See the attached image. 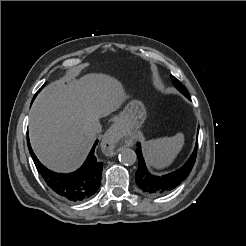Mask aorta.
Here are the masks:
<instances>
[{
  "label": "aorta",
  "mask_w": 246,
  "mask_h": 246,
  "mask_svg": "<svg viewBox=\"0 0 246 246\" xmlns=\"http://www.w3.org/2000/svg\"><path fill=\"white\" fill-rule=\"evenodd\" d=\"M137 155L134 150L130 148H122L119 153V161L123 165H133L136 162Z\"/></svg>",
  "instance_id": "aorta-1"
}]
</instances>
